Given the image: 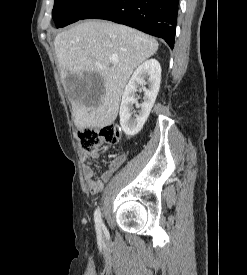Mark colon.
I'll return each instance as SVG.
<instances>
[{"mask_svg": "<svg viewBox=\"0 0 247 275\" xmlns=\"http://www.w3.org/2000/svg\"><path fill=\"white\" fill-rule=\"evenodd\" d=\"M121 139V130L117 125H105L100 128H83L77 133L78 146L92 156H96L103 143L116 144Z\"/></svg>", "mask_w": 247, "mask_h": 275, "instance_id": "5ec220e1", "label": "colon"}]
</instances>
